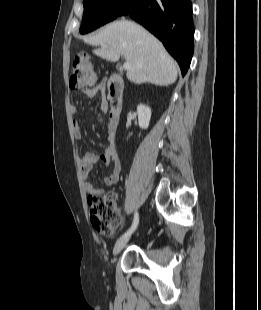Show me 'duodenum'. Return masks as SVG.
<instances>
[{
    "label": "duodenum",
    "mask_w": 261,
    "mask_h": 310,
    "mask_svg": "<svg viewBox=\"0 0 261 310\" xmlns=\"http://www.w3.org/2000/svg\"><path fill=\"white\" fill-rule=\"evenodd\" d=\"M108 99L110 101V125L116 130L123 96L124 83L119 74H113L107 82Z\"/></svg>",
    "instance_id": "duodenum-1"
}]
</instances>
